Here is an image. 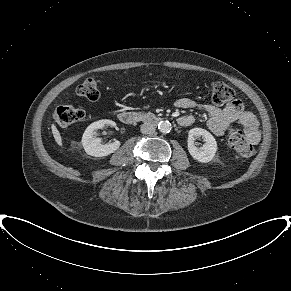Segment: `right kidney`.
<instances>
[{
    "label": "right kidney",
    "mask_w": 291,
    "mask_h": 291,
    "mask_svg": "<svg viewBox=\"0 0 291 291\" xmlns=\"http://www.w3.org/2000/svg\"><path fill=\"white\" fill-rule=\"evenodd\" d=\"M107 124L115 125V123L110 120H99L86 128L82 137V145L87 155L105 157L115 152L120 147V142L118 140L103 145L101 139L97 138V130L104 128Z\"/></svg>",
    "instance_id": "obj_1"
}]
</instances>
